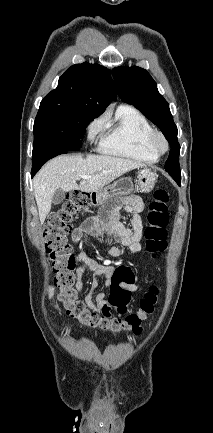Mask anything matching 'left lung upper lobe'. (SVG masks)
Wrapping results in <instances>:
<instances>
[{
	"label": "left lung upper lobe",
	"instance_id": "left-lung-upper-lobe-1",
	"mask_svg": "<svg viewBox=\"0 0 213 433\" xmlns=\"http://www.w3.org/2000/svg\"><path fill=\"white\" fill-rule=\"evenodd\" d=\"M112 74L120 98L140 110L158 126L168 140L171 151L164 168L177 184L181 183L177 127L173 121L169 104L158 92L157 84L145 69L137 66L116 67Z\"/></svg>",
	"mask_w": 213,
	"mask_h": 433
}]
</instances>
